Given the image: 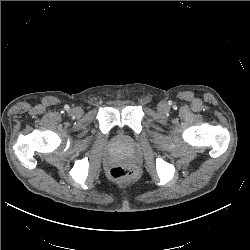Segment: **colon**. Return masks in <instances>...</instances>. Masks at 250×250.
Segmentation results:
<instances>
[{"instance_id": "colon-1", "label": "colon", "mask_w": 250, "mask_h": 250, "mask_svg": "<svg viewBox=\"0 0 250 250\" xmlns=\"http://www.w3.org/2000/svg\"><path fill=\"white\" fill-rule=\"evenodd\" d=\"M109 175L113 180H127L135 176V172L124 166H114L110 169Z\"/></svg>"}]
</instances>
